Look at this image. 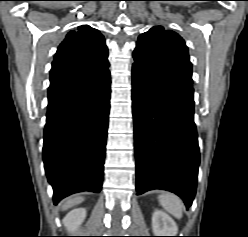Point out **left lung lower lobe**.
I'll use <instances>...</instances> for the list:
<instances>
[{
  "label": "left lung lower lobe",
  "mask_w": 248,
  "mask_h": 237,
  "mask_svg": "<svg viewBox=\"0 0 248 237\" xmlns=\"http://www.w3.org/2000/svg\"><path fill=\"white\" fill-rule=\"evenodd\" d=\"M136 190L171 191L192 205L200 162L193 87L132 68Z\"/></svg>",
  "instance_id": "0a47b994"
}]
</instances>
